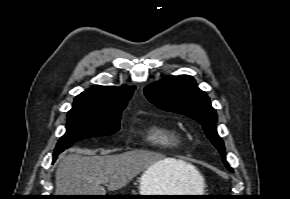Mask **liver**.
<instances>
[{
  "label": "liver",
  "instance_id": "1",
  "mask_svg": "<svg viewBox=\"0 0 290 199\" xmlns=\"http://www.w3.org/2000/svg\"><path fill=\"white\" fill-rule=\"evenodd\" d=\"M159 165V170L177 178L174 193H193V180L199 171L191 164L146 151L132 150L107 156H63L56 170V195H105L125 187L140 172ZM158 172L155 170L154 175Z\"/></svg>",
  "mask_w": 290,
  "mask_h": 199
}]
</instances>
